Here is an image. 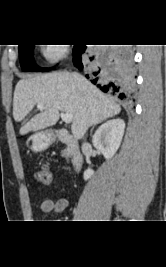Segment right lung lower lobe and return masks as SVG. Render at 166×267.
<instances>
[{
    "label": "right lung lower lobe",
    "instance_id": "obj_1",
    "mask_svg": "<svg viewBox=\"0 0 166 267\" xmlns=\"http://www.w3.org/2000/svg\"><path fill=\"white\" fill-rule=\"evenodd\" d=\"M86 45H74V64L84 68L86 78L103 92L126 100L133 87L132 54L128 47H111L104 53L91 55L82 62Z\"/></svg>",
    "mask_w": 166,
    "mask_h": 267
}]
</instances>
